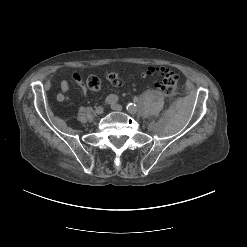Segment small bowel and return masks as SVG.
<instances>
[{
	"label": "small bowel",
	"mask_w": 247,
	"mask_h": 247,
	"mask_svg": "<svg viewBox=\"0 0 247 247\" xmlns=\"http://www.w3.org/2000/svg\"><path fill=\"white\" fill-rule=\"evenodd\" d=\"M71 79L76 84H78L82 88L84 94H86V87H85V84H84L82 77L78 73H73L71 75ZM68 90H69V82H68V80H63L60 84V92L57 95V100L60 102L67 100L68 99V96H67Z\"/></svg>",
	"instance_id": "obj_1"
}]
</instances>
